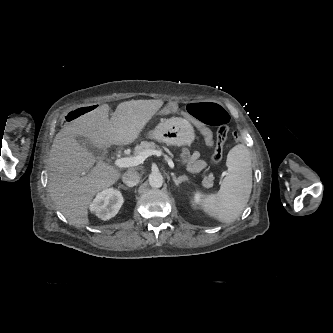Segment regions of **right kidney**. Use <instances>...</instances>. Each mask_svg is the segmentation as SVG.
<instances>
[{"mask_svg": "<svg viewBox=\"0 0 333 333\" xmlns=\"http://www.w3.org/2000/svg\"><path fill=\"white\" fill-rule=\"evenodd\" d=\"M123 201L120 191L108 188L96 195L90 205V210L102 220H109L118 213Z\"/></svg>", "mask_w": 333, "mask_h": 333, "instance_id": "1", "label": "right kidney"}]
</instances>
